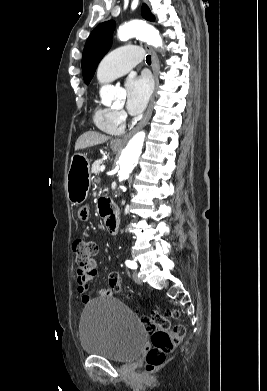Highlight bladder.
Here are the masks:
<instances>
[{
  "label": "bladder",
  "instance_id": "31cf9c89",
  "mask_svg": "<svg viewBox=\"0 0 267 391\" xmlns=\"http://www.w3.org/2000/svg\"><path fill=\"white\" fill-rule=\"evenodd\" d=\"M146 341L142 323L119 299L94 301L80 320V344L84 353L115 362L136 359Z\"/></svg>",
  "mask_w": 267,
  "mask_h": 391
}]
</instances>
